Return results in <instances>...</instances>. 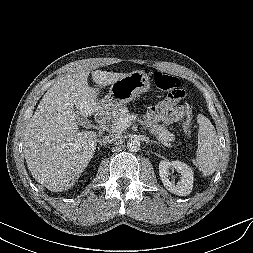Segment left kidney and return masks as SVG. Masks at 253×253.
<instances>
[{"label":"left kidney","mask_w":253,"mask_h":253,"mask_svg":"<svg viewBox=\"0 0 253 253\" xmlns=\"http://www.w3.org/2000/svg\"><path fill=\"white\" fill-rule=\"evenodd\" d=\"M170 170H176L180 174V180L177 184L170 180ZM159 175L165 188L179 196H187L191 193L193 187L194 174L187 164L181 161L163 160L159 163Z\"/></svg>","instance_id":"5707ae66"}]
</instances>
